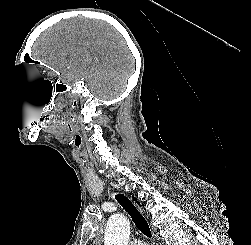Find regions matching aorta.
<instances>
[{"mask_svg": "<svg viewBox=\"0 0 251 245\" xmlns=\"http://www.w3.org/2000/svg\"><path fill=\"white\" fill-rule=\"evenodd\" d=\"M130 238V223L121 215H112L105 229V245H128Z\"/></svg>", "mask_w": 251, "mask_h": 245, "instance_id": "obj_1", "label": "aorta"}]
</instances>
